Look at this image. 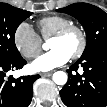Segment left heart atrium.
I'll return each mask as SVG.
<instances>
[{
  "instance_id": "39dd6f15",
  "label": "left heart atrium",
  "mask_w": 107,
  "mask_h": 107,
  "mask_svg": "<svg viewBox=\"0 0 107 107\" xmlns=\"http://www.w3.org/2000/svg\"><path fill=\"white\" fill-rule=\"evenodd\" d=\"M70 55L61 49H52L49 52L39 56L33 63L32 68L35 71L47 72L54 68L66 64Z\"/></svg>"
}]
</instances>
